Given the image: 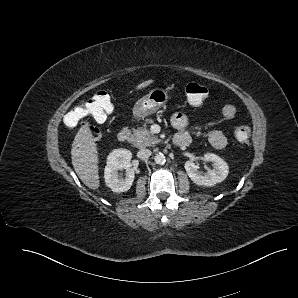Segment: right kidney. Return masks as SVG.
Returning a JSON list of instances; mask_svg holds the SVG:
<instances>
[{"label":"right kidney","mask_w":298,"mask_h":298,"mask_svg":"<svg viewBox=\"0 0 298 298\" xmlns=\"http://www.w3.org/2000/svg\"><path fill=\"white\" fill-rule=\"evenodd\" d=\"M132 153L127 149H114L107 156L104 169V179L106 185L117 193L128 191L134 181L135 173L131 167ZM125 169V178L118 177V170Z\"/></svg>","instance_id":"1"}]
</instances>
